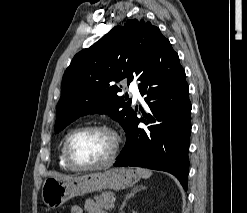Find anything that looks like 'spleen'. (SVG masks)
I'll return each instance as SVG.
<instances>
[{
    "mask_svg": "<svg viewBox=\"0 0 247 213\" xmlns=\"http://www.w3.org/2000/svg\"><path fill=\"white\" fill-rule=\"evenodd\" d=\"M137 174L142 178H149L152 175V172L147 169L137 168L136 169Z\"/></svg>",
    "mask_w": 247,
    "mask_h": 213,
    "instance_id": "1",
    "label": "spleen"
}]
</instances>
